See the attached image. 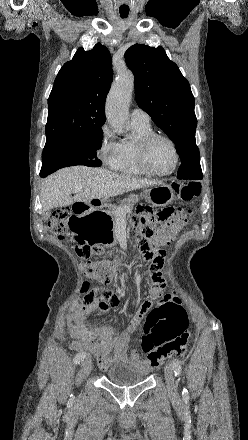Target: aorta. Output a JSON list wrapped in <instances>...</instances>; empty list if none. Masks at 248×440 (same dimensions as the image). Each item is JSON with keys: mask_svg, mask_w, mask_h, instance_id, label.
<instances>
[{"mask_svg": "<svg viewBox=\"0 0 248 440\" xmlns=\"http://www.w3.org/2000/svg\"><path fill=\"white\" fill-rule=\"evenodd\" d=\"M134 90V76L130 71L121 72L111 87L106 103V116L117 133H125L128 106Z\"/></svg>", "mask_w": 248, "mask_h": 440, "instance_id": "obj_1", "label": "aorta"}]
</instances>
